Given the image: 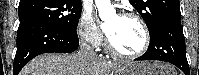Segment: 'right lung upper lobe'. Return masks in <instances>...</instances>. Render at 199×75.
Here are the masks:
<instances>
[{
	"mask_svg": "<svg viewBox=\"0 0 199 75\" xmlns=\"http://www.w3.org/2000/svg\"><path fill=\"white\" fill-rule=\"evenodd\" d=\"M25 1H27V0H20V3H23V2H25ZM73 1H77V0H73Z\"/></svg>",
	"mask_w": 199,
	"mask_h": 75,
	"instance_id": "1",
	"label": "right lung upper lobe"
}]
</instances>
